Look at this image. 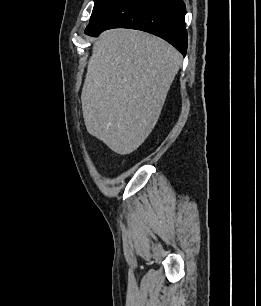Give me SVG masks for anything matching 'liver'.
<instances>
[{"mask_svg":"<svg viewBox=\"0 0 261 306\" xmlns=\"http://www.w3.org/2000/svg\"><path fill=\"white\" fill-rule=\"evenodd\" d=\"M182 55L163 39L131 29L104 32L94 43L81 102L87 131L120 155L154 129Z\"/></svg>","mask_w":261,"mask_h":306,"instance_id":"liver-1","label":"liver"}]
</instances>
